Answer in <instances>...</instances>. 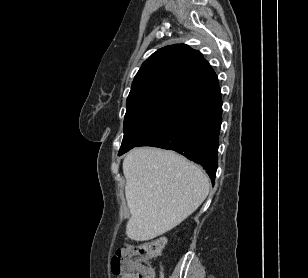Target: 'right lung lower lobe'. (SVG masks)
Returning <instances> with one entry per match:
<instances>
[{
	"instance_id": "98d812e1",
	"label": "right lung lower lobe",
	"mask_w": 308,
	"mask_h": 278,
	"mask_svg": "<svg viewBox=\"0 0 308 278\" xmlns=\"http://www.w3.org/2000/svg\"><path fill=\"white\" fill-rule=\"evenodd\" d=\"M221 122L219 89L178 112L162 129L137 146L174 150L202 165L214 183Z\"/></svg>"
}]
</instances>
